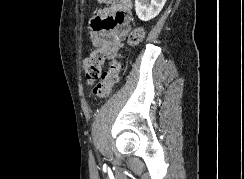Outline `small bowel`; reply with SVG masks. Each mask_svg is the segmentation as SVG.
Segmentation results:
<instances>
[{
    "instance_id": "c3829d8e",
    "label": "small bowel",
    "mask_w": 244,
    "mask_h": 179,
    "mask_svg": "<svg viewBox=\"0 0 244 179\" xmlns=\"http://www.w3.org/2000/svg\"><path fill=\"white\" fill-rule=\"evenodd\" d=\"M124 1V0H122ZM125 6H110L95 11L90 19L88 39L94 47L105 49L106 56L113 61L118 56L122 39L130 30L126 22Z\"/></svg>"
}]
</instances>
